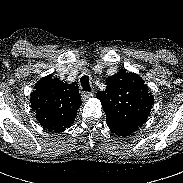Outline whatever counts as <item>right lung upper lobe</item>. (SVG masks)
<instances>
[{"label": "right lung upper lobe", "instance_id": "cb5924a9", "mask_svg": "<svg viewBox=\"0 0 183 183\" xmlns=\"http://www.w3.org/2000/svg\"><path fill=\"white\" fill-rule=\"evenodd\" d=\"M77 83L67 84L52 75L43 77L31 93L37 121L49 131L63 132L75 120L81 105Z\"/></svg>", "mask_w": 183, "mask_h": 183}]
</instances>
